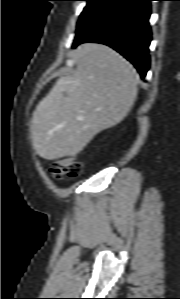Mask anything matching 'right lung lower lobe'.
Masks as SVG:
<instances>
[{"mask_svg": "<svg viewBox=\"0 0 180 299\" xmlns=\"http://www.w3.org/2000/svg\"><path fill=\"white\" fill-rule=\"evenodd\" d=\"M152 0H106L78 22L73 47L84 42L106 44L129 60L144 78L150 64L149 26Z\"/></svg>", "mask_w": 180, "mask_h": 299, "instance_id": "obj_1", "label": "right lung lower lobe"}]
</instances>
